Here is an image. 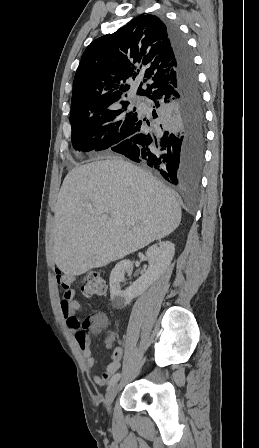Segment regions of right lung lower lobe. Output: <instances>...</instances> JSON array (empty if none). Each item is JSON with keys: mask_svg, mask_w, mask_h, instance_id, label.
<instances>
[{"mask_svg": "<svg viewBox=\"0 0 259 448\" xmlns=\"http://www.w3.org/2000/svg\"><path fill=\"white\" fill-rule=\"evenodd\" d=\"M176 63V86L150 98L151 125L140 115L111 147L147 163L174 186H197L204 164L205 113L192 52L179 29L162 20Z\"/></svg>", "mask_w": 259, "mask_h": 448, "instance_id": "right-lung-lower-lobe-1", "label": "right lung lower lobe"}]
</instances>
